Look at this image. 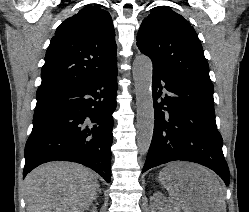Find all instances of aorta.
I'll use <instances>...</instances> for the list:
<instances>
[{
	"label": "aorta",
	"mask_w": 249,
	"mask_h": 212,
	"mask_svg": "<svg viewBox=\"0 0 249 212\" xmlns=\"http://www.w3.org/2000/svg\"><path fill=\"white\" fill-rule=\"evenodd\" d=\"M153 65L150 58L139 55L133 63L137 106V145L141 155H145L151 145L154 131V106L152 98Z\"/></svg>",
	"instance_id": "762f6f07"
}]
</instances>
